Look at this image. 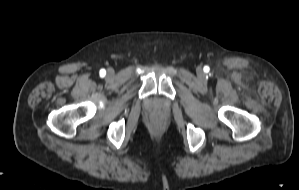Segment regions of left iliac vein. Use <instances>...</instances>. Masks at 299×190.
<instances>
[{
    "label": "left iliac vein",
    "mask_w": 299,
    "mask_h": 190,
    "mask_svg": "<svg viewBox=\"0 0 299 190\" xmlns=\"http://www.w3.org/2000/svg\"><path fill=\"white\" fill-rule=\"evenodd\" d=\"M198 73H199V76H200V77H203V72H202L201 70H199Z\"/></svg>",
    "instance_id": "1"
}]
</instances>
